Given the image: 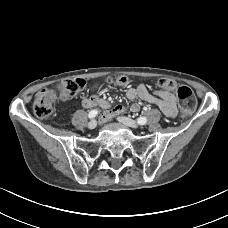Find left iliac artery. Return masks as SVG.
<instances>
[{
  "instance_id": "44dca946",
  "label": "left iliac artery",
  "mask_w": 228,
  "mask_h": 228,
  "mask_svg": "<svg viewBox=\"0 0 228 228\" xmlns=\"http://www.w3.org/2000/svg\"><path fill=\"white\" fill-rule=\"evenodd\" d=\"M137 122H138V124H140V125H145V124L147 123V118H145V117H139V118L137 119Z\"/></svg>"
}]
</instances>
